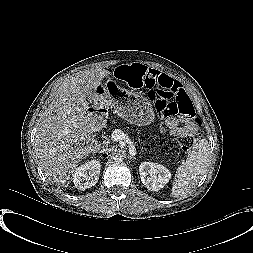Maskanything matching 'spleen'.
Listing matches in <instances>:
<instances>
[{
    "mask_svg": "<svg viewBox=\"0 0 253 253\" xmlns=\"http://www.w3.org/2000/svg\"><path fill=\"white\" fill-rule=\"evenodd\" d=\"M208 162V141L202 139L193 146L186 161L177 168L171 196L178 198L187 195L202 178Z\"/></svg>",
    "mask_w": 253,
    "mask_h": 253,
    "instance_id": "3e777b00",
    "label": "spleen"
}]
</instances>
